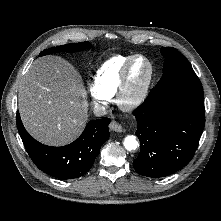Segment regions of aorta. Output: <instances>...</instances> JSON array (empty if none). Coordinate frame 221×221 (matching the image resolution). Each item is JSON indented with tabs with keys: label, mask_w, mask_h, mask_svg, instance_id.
Returning a JSON list of instances; mask_svg holds the SVG:
<instances>
[{
	"label": "aorta",
	"mask_w": 221,
	"mask_h": 221,
	"mask_svg": "<svg viewBox=\"0 0 221 221\" xmlns=\"http://www.w3.org/2000/svg\"><path fill=\"white\" fill-rule=\"evenodd\" d=\"M123 144H124L125 149H127L128 151L135 150L139 146L138 141L136 140V137L133 135L126 136Z\"/></svg>",
	"instance_id": "aorta-1"
}]
</instances>
